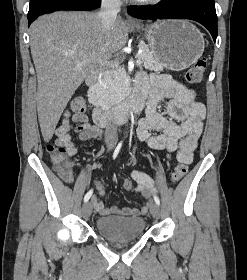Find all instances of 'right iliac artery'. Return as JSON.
Segmentation results:
<instances>
[{"label": "right iliac artery", "mask_w": 247, "mask_h": 280, "mask_svg": "<svg viewBox=\"0 0 247 280\" xmlns=\"http://www.w3.org/2000/svg\"><path fill=\"white\" fill-rule=\"evenodd\" d=\"M121 146H122V142H120V143L117 145V147L115 148V151H114V153H113V159H115V158L117 157V155H118V153H119V151H120V149H121ZM92 193H93V189H91L90 191H88V192L86 193V195H85V197H84V202H87V201L90 199Z\"/></svg>", "instance_id": "82829eb1"}]
</instances>
